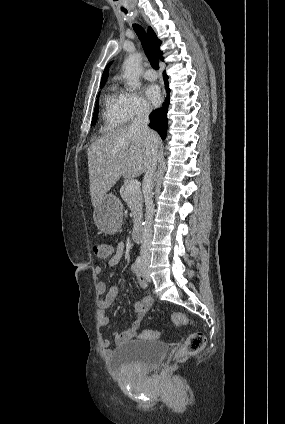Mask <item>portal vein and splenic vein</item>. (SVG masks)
I'll use <instances>...</instances> for the list:
<instances>
[{"label":"portal vein and splenic vein","mask_w":285,"mask_h":424,"mask_svg":"<svg viewBox=\"0 0 285 424\" xmlns=\"http://www.w3.org/2000/svg\"><path fill=\"white\" fill-rule=\"evenodd\" d=\"M128 187L131 192H136L140 189V183L136 179H132L128 182Z\"/></svg>","instance_id":"18ae733b"}]
</instances>
